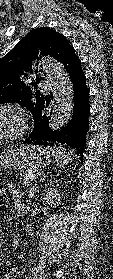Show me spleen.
<instances>
[{"mask_svg":"<svg viewBox=\"0 0 113 279\" xmlns=\"http://www.w3.org/2000/svg\"><path fill=\"white\" fill-rule=\"evenodd\" d=\"M48 149L55 156L57 162L59 163V165L61 167L65 166V165L67 166L69 164V162L71 160V156H70V153L67 152L64 148L49 147Z\"/></svg>","mask_w":113,"mask_h":279,"instance_id":"1","label":"spleen"}]
</instances>
